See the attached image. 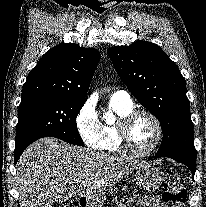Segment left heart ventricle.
<instances>
[{
  "instance_id": "obj_1",
  "label": "left heart ventricle",
  "mask_w": 206,
  "mask_h": 207,
  "mask_svg": "<svg viewBox=\"0 0 206 207\" xmlns=\"http://www.w3.org/2000/svg\"><path fill=\"white\" fill-rule=\"evenodd\" d=\"M128 134L132 147L143 151L153 144L156 138V128L148 117L141 116L132 123Z\"/></svg>"
}]
</instances>
